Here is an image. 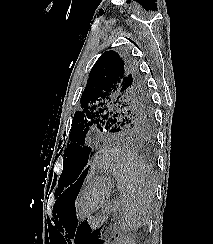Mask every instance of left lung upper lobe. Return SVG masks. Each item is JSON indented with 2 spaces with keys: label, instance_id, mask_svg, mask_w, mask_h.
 I'll use <instances>...</instances> for the list:
<instances>
[{
  "label": "left lung upper lobe",
  "instance_id": "1",
  "mask_svg": "<svg viewBox=\"0 0 213 244\" xmlns=\"http://www.w3.org/2000/svg\"><path fill=\"white\" fill-rule=\"evenodd\" d=\"M101 131L127 133L135 138H153L155 120L147 84L136 64L123 59L115 51L104 52L90 71L81 96V110L73 124L64 152L63 172L59 179L61 191L79 176L84 146L90 126Z\"/></svg>",
  "mask_w": 213,
  "mask_h": 244
}]
</instances>
